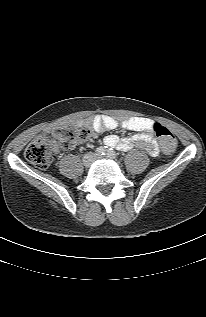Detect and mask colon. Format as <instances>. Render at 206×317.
Here are the masks:
<instances>
[{
    "label": "colon",
    "mask_w": 206,
    "mask_h": 317,
    "mask_svg": "<svg viewBox=\"0 0 206 317\" xmlns=\"http://www.w3.org/2000/svg\"><path fill=\"white\" fill-rule=\"evenodd\" d=\"M153 132L159 139L164 152L171 153L176 147L174 134L160 123L153 124ZM90 131L86 127L64 125L56 128L52 136L56 138L64 149L72 148L76 143L86 140ZM53 141L47 134L40 135L33 140L25 149V157L34 166L46 169L50 165V157Z\"/></svg>",
    "instance_id": "5ec220e1"
}]
</instances>
